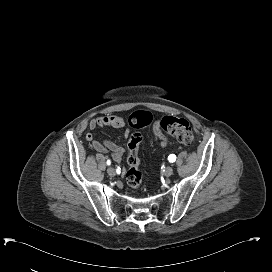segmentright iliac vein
<instances>
[{
	"label": "right iliac vein",
	"instance_id": "obj_1",
	"mask_svg": "<svg viewBox=\"0 0 272 272\" xmlns=\"http://www.w3.org/2000/svg\"><path fill=\"white\" fill-rule=\"evenodd\" d=\"M107 174L111 177L115 176L116 175V171L114 168L110 167L107 169Z\"/></svg>",
	"mask_w": 272,
	"mask_h": 272
}]
</instances>
